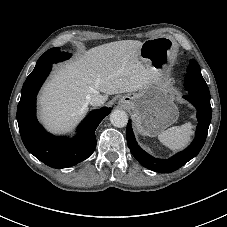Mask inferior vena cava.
I'll return each instance as SVG.
<instances>
[{"mask_svg":"<svg viewBox=\"0 0 227 227\" xmlns=\"http://www.w3.org/2000/svg\"><path fill=\"white\" fill-rule=\"evenodd\" d=\"M86 101L88 104L92 106H101L105 102V97L98 93H94V94L88 95L86 98Z\"/></svg>","mask_w":227,"mask_h":227,"instance_id":"1","label":"inferior vena cava"}]
</instances>
